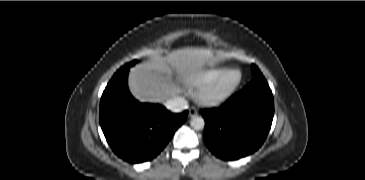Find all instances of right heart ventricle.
<instances>
[{
  "instance_id": "1",
  "label": "right heart ventricle",
  "mask_w": 365,
  "mask_h": 180,
  "mask_svg": "<svg viewBox=\"0 0 365 180\" xmlns=\"http://www.w3.org/2000/svg\"><path fill=\"white\" fill-rule=\"evenodd\" d=\"M225 68L223 67H217L205 70L201 72L200 74L196 75L191 80V87L193 88H201L207 83H209L211 80H213L216 76H218Z\"/></svg>"
}]
</instances>
